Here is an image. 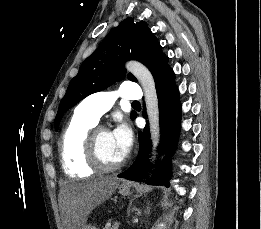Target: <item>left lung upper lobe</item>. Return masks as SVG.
Listing matches in <instances>:
<instances>
[{"label":"left lung upper lobe","instance_id":"left-lung-upper-lobe-1","mask_svg":"<svg viewBox=\"0 0 261 229\" xmlns=\"http://www.w3.org/2000/svg\"><path fill=\"white\" fill-rule=\"evenodd\" d=\"M131 59L143 63L154 79L169 68L168 57L163 54L147 23L128 17L110 31L96 51L80 66L60 102L55 129H58L60 120L68 109L88 95L122 80L126 74L124 63ZM128 79L137 81L132 74H128ZM135 116L136 113L132 111L131 119Z\"/></svg>","mask_w":261,"mask_h":229}]
</instances>
